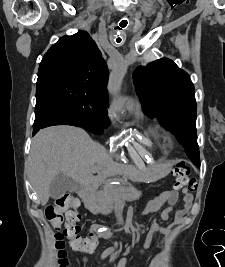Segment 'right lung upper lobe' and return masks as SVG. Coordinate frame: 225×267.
<instances>
[{
  "mask_svg": "<svg viewBox=\"0 0 225 267\" xmlns=\"http://www.w3.org/2000/svg\"><path fill=\"white\" fill-rule=\"evenodd\" d=\"M48 77L85 83L107 97V65L87 32L63 36L46 52L40 63L38 80Z\"/></svg>",
  "mask_w": 225,
  "mask_h": 267,
  "instance_id": "cb5924a9",
  "label": "right lung upper lobe"
}]
</instances>
